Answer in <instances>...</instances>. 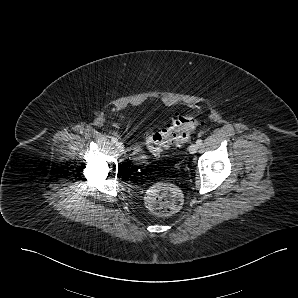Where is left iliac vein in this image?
<instances>
[{
  "instance_id": "obj_1",
  "label": "left iliac vein",
  "mask_w": 298,
  "mask_h": 298,
  "mask_svg": "<svg viewBox=\"0 0 298 298\" xmlns=\"http://www.w3.org/2000/svg\"><path fill=\"white\" fill-rule=\"evenodd\" d=\"M198 145L197 144H191L190 146H189V153L190 154H195L196 152H197V150H198Z\"/></svg>"
}]
</instances>
